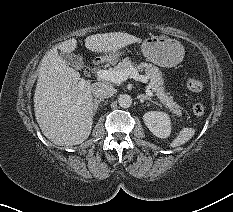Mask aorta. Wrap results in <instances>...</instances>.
<instances>
[{"label": "aorta", "mask_w": 233, "mask_h": 212, "mask_svg": "<svg viewBox=\"0 0 233 212\" xmlns=\"http://www.w3.org/2000/svg\"><path fill=\"white\" fill-rule=\"evenodd\" d=\"M118 102L122 108H129L132 104V98L127 94H123L120 95Z\"/></svg>", "instance_id": "1"}]
</instances>
